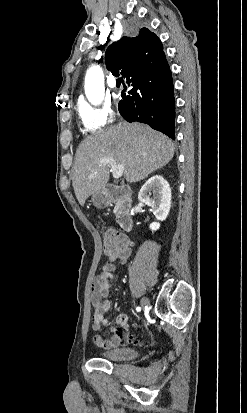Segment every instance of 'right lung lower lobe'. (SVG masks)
I'll list each match as a JSON object with an SVG mask.
<instances>
[{
    "label": "right lung lower lobe",
    "instance_id": "1",
    "mask_svg": "<svg viewBox=\"0 0 247 413\" xmlns=\"http://www.w3.org/2000/svg\"><path fill=\"white\" fill-rule=\"evenodd\" d=\"M131 78V79H129ZM133 89L122 94L120 114L128 122H142L175 139V101L172 76L167 61L142 75L129 77Z\"/></svg>",
    "mask_w": 247,
    "mask_h": 413
}]
</instances>
